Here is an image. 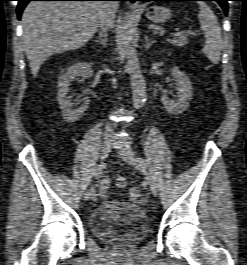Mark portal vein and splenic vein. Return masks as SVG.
<instances>
[{
    "mask_svg": "<svg viewBox=\"0 0 247 265\" xmlns=\"http://www.w3.org/2000/svg\"><path fill=\"white\" fill-rule=\"evenodd\" d=\"M190 34H192V35H196L195 33H190ZM169 35H173L172 33H170Z\"/></svg>",
    "mask_w": 247,
    "mask_h": 265,
    "instance_id": "1",
    "label": "portal vein and splenic vein"
}]
</instances>
